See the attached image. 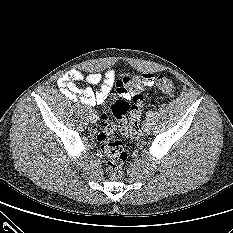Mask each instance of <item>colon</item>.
Listing matches in <instances>:
<instances>
[{
  "label": "colon",
  "instance_id": "obj_1",
  "mask_svg": "<svg viewBox=\"0 0 233 233\" xmlns=\"http://www.w3.org/2000/svg\"><path fill=\"white\" fill-rule=\"evenodd\" d=\"M153 81L157 88L167 97H173L176 92L174 81L160 75ZM143 79L132 77L128 84V89L132 92V104L124 99L117 100L111 107V113L117 118L121 133L126 137H136L139 133V123L141 119V109L143 105ZM107 114L102 118V123L106 120ZM101 151L107 158V170L112 179H119L123 175V165L127 159V152L124 145L110 133L102 129L98 135Z\"/></svg>",
  "mask_w": 233,
  "mask_h": 233
}]
</instances>
